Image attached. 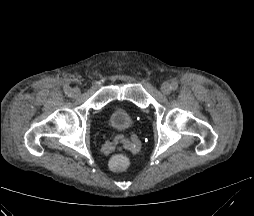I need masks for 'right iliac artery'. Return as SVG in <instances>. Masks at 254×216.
I'll return each mask as SVG.
<instances>
[{"mask_svg": "<svg viewBox=\"0 0 254 216\" xmlns=\"http://www.w3.org/2000/svg\"><path fill=\"white\" fill-rule=\"evenodd\" d=\"M64 92L66 93V94H71V88L70 87H65L64 88Z\"/></svg>", "mask_w": 254, "mask_h": 216, "instance_id": "right-iliac-artery-1", "label": "right iliac artery"}]
</instances>
